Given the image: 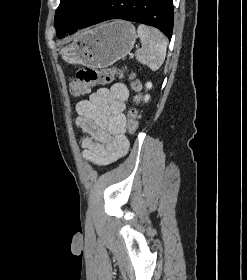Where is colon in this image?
Instances as JSON below:
<instances>
[{"label":"colon","mask_w":247,"mask_h":280,"mask_svg":"<svg viewBox=\"0 0 247 280\" xmlns=\"http://www.w3.org/2000/svg\"><path fill=\"white\" fill-rule=\"evenodd\" d=\"M121 72L115 68H93L85 67L76 73V76L70 81V91L74 96H80L88 93L90 89L96 85L110 83ZM131 87L135 92L141 88L139 81L131 77ZM135 101L138 100L136 95ZM127 130L134 135L138 129V112L135 108L129 110L127 115Z\"/></svg>","instance_id":"colon-1"}]
</instances>
